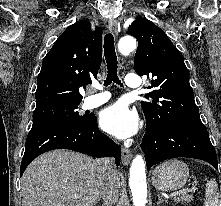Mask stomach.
Segmentation results:
<instances>
[{
	"instance_id": "stomach-1",
	"label": "stomach",
	"mask_w": 221,
	"mask_h": 206,
	"mask_svg": "<svg viewBox=\"0 0 221 206\" xmlns=\"http://www.w3.org/2000/svg\"><path fill=\"white\" fill-rule=\"evenodd\" d=\"M188 177L189 169L185 163L169 160L154 169L151 180L158 190L175 191L186 184Z\"/></svg>"
}]
</instances>
